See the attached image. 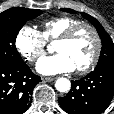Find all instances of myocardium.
I'll return each mask as SVG.
<instances>
[{
  "instance_id": "myocardium-1",
  "label": "myocardium",
  "mask_w": 114,
  "mask_h": 114,
  "mask_svg": "<svg viewBox=\"0 0 114 114\" xmlns=\"http://www.w3.org/2000/svg\"><path fill=\"white\" fill-rule=\"evenodd\" d=\"M82 29H86L90 31V33L93 35L94 40H95V48H94V52L90 60L85 65L79 68H76V71L80 74L89 72L91 69H93L96 66L99 60L101 50H102V40L96 28L89 23L80 22L69 27L63 34H61L58 37V40H57V42L58 41H70Z\"/></svg>"
}]
</instances>
